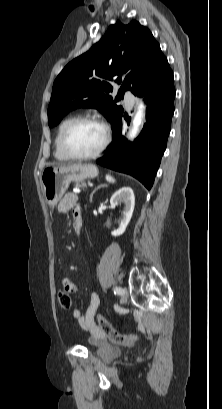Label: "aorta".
<instances>
[{"mask_svg": "<svg viewBox=\"0 0 222 409\" xmlns=\"http://www.w3.org/2000/svg\"><path fill=\"white\" fill-rule=\"evenodd\" d=\"M143 123V105L139 106L138 112L136 113L134 120H133V128L129 133L128 138L133 139L139 132V127Z\"/></svg>", "mask_w": 222, "mask_h": 409, "instance_id": "1", "label": "aorta"}]
</instances>
